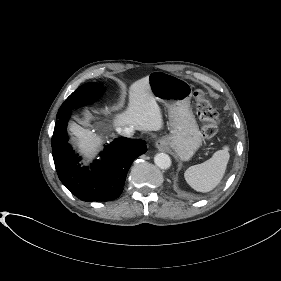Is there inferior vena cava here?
<instances>
[{
	"label": "inferior vena cava",
	"instance_id": "602c4592",
	"mask_svg": "<svg viewBox=\"0 0 281 281\" xmlns=\"http://www.w3.org/2000/svg\"><path fill=\"white\" fill-rule=\"evenodd\" d=\"M117 132L125 137H132L134 135V129L127 126L117 128Z\"/></svg>",
	"mask_w": 281,
	"mask_h": 281
}]
</instances>
